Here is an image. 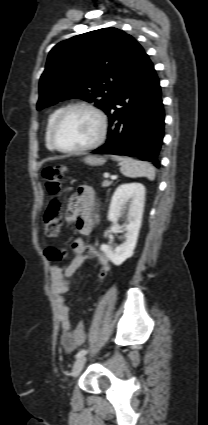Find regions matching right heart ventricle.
I'll use <instances>...</instances> for the list:
<instances>
[{
    "mask_svg": "<svg viewBox=\"0 0 208 425\" xmlns=\"http://www.w3.org/2000/svg\"><path fill=\"white\" fill-rule=\"evenodd\" d=\"M60 109L54 110L48 117L46 127H45V142L48 149L53 150L54 148L51 146L50 143V128L51 125L56 117V115L59 113Z\"/></svg>",
    "mask_w": 208,
    "mask_h": 425,
    "instance_id": "1",
    "label": "right heart ventricle"
}]
</instances>
